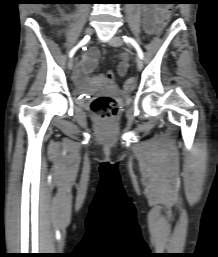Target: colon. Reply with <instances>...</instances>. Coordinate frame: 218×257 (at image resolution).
I'll list each match as a JSON object with an SVG mask.
<instances>
[{
  "instance_id": "obj_1",
  "label": "colon",
  "mask_w": 218,
  "mask_h": 257,
  "mask_svg": "<svg viewBox=\"0 0 218 257\" xmlns=\"http://www.w3.org/2000/svg\"><path fill=\"white\" fill-rule=\"evenodd\" d=\"M172 2H162L159 6L160 19L157 21L154 35H164V31L167 30L169 22H172V16L174 15V9ZM113 70H103V74H90L89 78L86 79V84H91L94 90H110V85L106 84H118V79L115 78ZM136 85V79L134 77L129 78L125 83L126 90H132ZM91 109L93 113L103 119L109 120L115 116L118 112V102L115 98L101 95L93 99L91 103Z\"/></svg>"
}]
</instances>
